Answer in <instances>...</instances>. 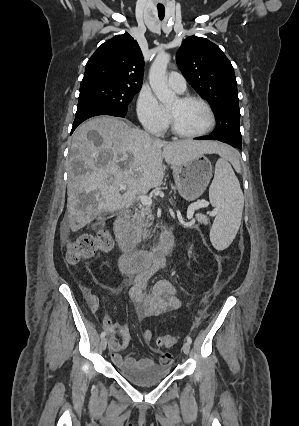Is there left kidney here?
<instances>
[{
	"instance_id": "obj_1",
	"label": "left kidney",
	"mask_w": 299,
	"mask_h": 426,
	"mask_svg": "<svg viewBox=\"0 0 299 426\" xmlns=\"http://www.w3.org/2000/svg\"><path fill=\"white\" fill-rule=\"evenodd\" d=\"M190 249H192V247H191ZM188 253H189V254H191V253H192V251H191V250H189V251H188Z\"/></svg>"
}]
</instances>
